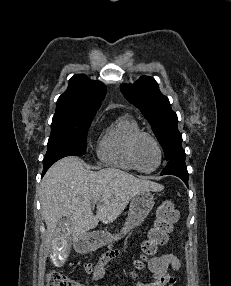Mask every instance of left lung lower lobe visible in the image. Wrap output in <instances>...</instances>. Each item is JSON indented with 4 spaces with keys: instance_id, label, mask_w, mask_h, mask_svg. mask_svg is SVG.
<instances>
[{
    "instance_id": "left-lung-lower-lobe-1",
    "label": "left lung lower lobe",
    "mask_w": 231,
    "mask_h": 286,
    "mask_svg": "<svg viewBox=\"0 0 231 286\" xmlns=\"http://www.w3.org/2000/svg\"><path fill=\"white\" fill-rule=\"evenodd\" d=\"M167 174L178 176L188 186V172L183 149L168 160L167 166L162 171L161 175Z\"/></svg>"
}]
</instances>
